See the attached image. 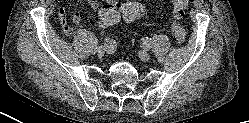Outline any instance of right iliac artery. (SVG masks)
<instances>
[{"label": "right iliac artery", "instance_id": "obj_1", "mask_svg": "<svg viewBox=\"0 0 249 123\" xmlns=\"http://www.w3.org/2000/svg\"><path fill=\"white\" fill-rule=\"evenodd\" d=\"M112 45V40L110 38H105L104 46L109 47Z\"/></svg>", "mask_w": 249, "mask_h": 123}]
</instances>
